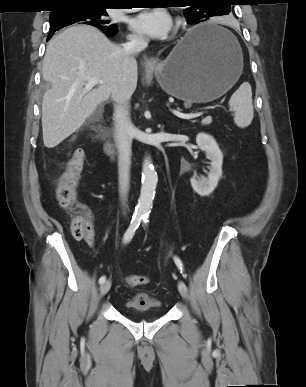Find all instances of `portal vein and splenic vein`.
Here are the masks:
<instances>
[{
	"label": "portal vein and splenic vein",
	"mask_w": 306,
	"mask_h": 387,
	"mask_svg": "<svg viewBox=\"0 0 306 387\" xmlns=\"http://www.w3.org/2000/svg\"><path fill=\"white\" fill-rule=\"evenodd\" d=\"M99 82L102 83V81L97 79V78H89L88 79V83L85 85V91L90 90L91 88H93ZM172 113L175 116H177L178 118H181V119H193V118H196V117L199 116L198 113L186 114V113L179 112L177 110H173Z\"/></svg>",
	"instance_id": "obj_1"
}]
</instances>
